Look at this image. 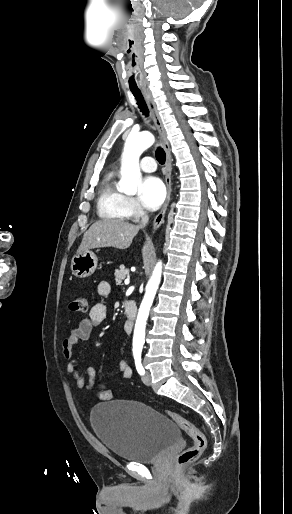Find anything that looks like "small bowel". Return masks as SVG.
I'll use <instances>...</instances> for the list:
<instances>
[{
  "instance_id": "1",
  "label": "small bowel",
  "mask_w": 292,
  "mask_h": 514,
  "mask_svg": "<svg viewBox=\"0 0 292 514\" xmlns=\"http://www.w3.org/2000/svg\"><path fill=\"white\" fill-rule=\"evenodd\" d=\"M97 292L100 296H107L111 292V285L108 281H100L97 284ZM107 318V309L103 303H96L92 306L87 317L83 318L78 324L72 327L69 336L62 342V353L67 360L66 372L72 376L75 385L80 390L91 391L96 381V371L89 367L83 372L77 369L79 359L74 356V347L88 341L92 331L100 327ZM117 368L123 379H130L133 371L128 363L121 360L117 364Z\"/></svg>"
}]
</instances>
